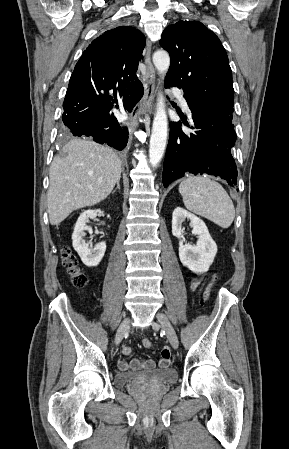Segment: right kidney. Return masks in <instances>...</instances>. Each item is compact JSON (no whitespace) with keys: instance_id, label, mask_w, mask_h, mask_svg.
Masks as SVG:
<instances>
[{"instance_id":"obj_1","label":"right kidney","mask_w":289,"mask_h":449,"mask_svg":"<svg viewBox=\"0 0 289 449\" xmlns=\"http://www.w3.org/2000/svg\"><path fill=\"white\" fill-rule=\"evenodd\" d=\"M98 212L100 210H86L80 214L72 234L73 248L88 267L98 266L106 251L105 242L97 244L94 248H89L84 239L86 231L92 234V229L86 223L89 222V219L96 218Z\"/></svg>"}]
</instances>
